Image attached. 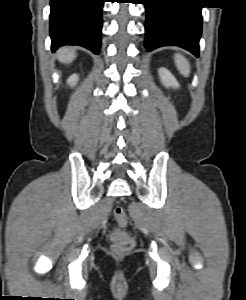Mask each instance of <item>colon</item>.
Instances as JSON below:
<instances>
[{
    "mask_svg": "<svg viewBox=\"0 0 246 300\" xmlns=\"http://www.w3.org/2000/svg\"><path fill=\"white\" fill-rule=\"evenodd\" d=\"M113 216L120 227H125L127 225V217L122 207H115L113 210ZM110 239L112 242L113 250L118 254H122L130 250L133 246V239L131 235L121 229H115L114 231H112Z\"/></svg>",
    "mask_w": 246,
    "mask_h": 300,
    "instance_id": "colon-1",
    "label": "colon"
}]
</instances>
